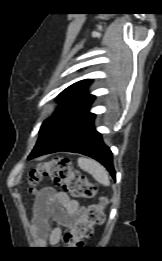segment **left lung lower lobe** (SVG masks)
<instances>
[{"label": "left lung lower lobe", "instance_id": "obj_1", "mask_svg": "<svg viewBox=\"0 0 162 261\" xmlns=\"http://www.w3.org/2000/svg\"><path fill=\"white\" fill-rule=\"evenodd\" d=\"M67 151L87 155L100 162L115 179L112 152L102 140L101 134L95 130L94 118L76 128L44 154Z\"/></svg>", "mask_w": 162, "mask_h": 261}]
</instances>
